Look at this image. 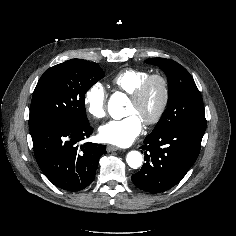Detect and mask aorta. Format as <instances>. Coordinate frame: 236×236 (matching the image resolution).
<instances>
[{"mask_svg":"<svg viewBox=\"0 0 236 236\" xmlns=\"http://www.w3.org/2000/svg\"><path fill=\"white\" fill-rule=\"evenodd\" d=\"M126 101V96L123 93H114L108 102V112L111 117L115 119H120L122 117L123 104ZM127 164L133 168L137 169L142 165L143 158L140 152L130 151L126 157Z\"/></svg>","mask_w":236,"mask_h":236,"instance_id":"obj_1","label":"aorta"}]
</instances>
